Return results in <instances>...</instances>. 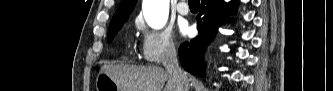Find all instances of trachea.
<instances>
[{"mask_svg": "<svg viewBox=\"0 0 333 91\" xmlns=\"http://www.w3.org/2000/svg\"><path fill=\"white\" fill-rule=\"evenodd\" d=\"M199 3V0H188V3Z\"/></svg>", "mask_w": 333, "mask_h": 91, "instance_id": "3493384b", "label": "trachea"}]
</instances>
